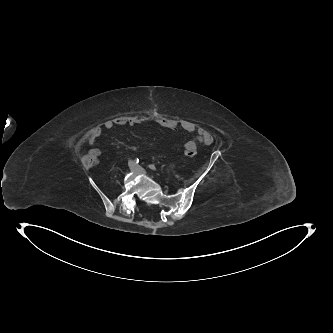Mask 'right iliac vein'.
<instances>
[{"mask_svg":"<svg viewBox=\"0 0 333 333\" xmlns=\"http://www.w3.org/2000/svg\"><path fill=\"white\" fill-rule=\"evenodd\" d=\"M130 170H131V171H134V170H135V165H134V164H131V165H130Z\"/></svg>","mask_w":333,"mask_h":333,"instance_id":"obj_1","label":"right iliac vein"}]
</instances>
